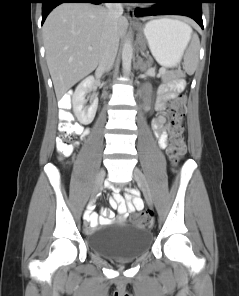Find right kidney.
<instances>
[{
    "instance_id": "1",
    "label": "right kidney",
    "mask_w": 239,
    "mask_h": 296,
    "mask_svg": "<svg viewBox=\"0 0 239 296\" xmlns=\"http://www.w3.org/2000/svg\"><path fill=\"white\" fill-rule=\"evenodd\" d=\"M95 83V78L89 76L76 87L72 95V105L75 116L81 124H89L95 117L98 107V97L90 95V105L86 106V94L90 93Z\"/></svg>"
}]
</instances>
